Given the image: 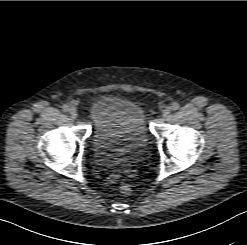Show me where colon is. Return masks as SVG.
I'll return each instance as SVG.
<instances>
[{"label":"colon","instance_id":"obj_1","mask_svg":"<svg viewBox=\"0 0 247 245\" xmlns=\"http://www.w3.org/2000/svg\"><path fill=\"white\" fill-rule=\"evenodd\" d=\"M119 190L122 194L128 195L131 193V186L127 183H121L119 186Z\"/></svg>","mask_w":247,"mask_h":245}]
</instances>
